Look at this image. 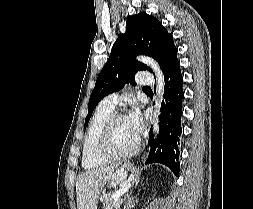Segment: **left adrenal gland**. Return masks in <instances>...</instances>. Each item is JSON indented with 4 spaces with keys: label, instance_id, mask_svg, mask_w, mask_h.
I'll use <instances>...</instances> for the list:
<instances>
[{
    "label": "left adrenal gland",
    "instance_id": "1",
    "mask_svg": "<svg viewBox=\"0 0 253 209\" xmlns=\"http://www.w3.org/2000/svg\"><path fill=\"white\" fill-rule=\"evenodd\" d=\"M128 204H131L130 200L128 201Z\"/></svg>",
    "mask_w": 253,
    "mask_h": 209
}]
</instances>
